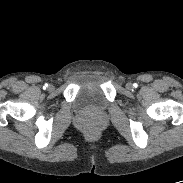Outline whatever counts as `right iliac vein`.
<instances>
[{"instance_id":"63e3f726","label":"right iliac vein","mask_w":183,"mask_h":183,"mask_svg":"<svg viewBox=\"0 0 183 183\" xmlns=\"http://www.w3.org/2000/svg\"><path fill=\"white\" fill-rule=\"evenodd\" d=\"M48 90H49V91H53V90H54V86H53V85H49V86H48Z\"/></svg>"}]
</instances>
